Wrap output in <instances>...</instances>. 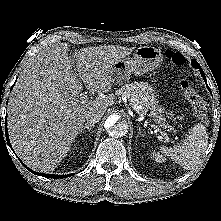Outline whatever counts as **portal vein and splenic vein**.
<instances>
[{
	"label": "portal vein and splenic vein",
	"instance_id": "obj_1",
	"mask_svg": "<svg viewBox=\"0 0 221 221\" xmlns=\"http://www.w3.org/2000/svg\"><path fill=\"white\" fill-rule=\"evenodd\" d=\"M82 98H83V99H87V95H85V94H84V95L82 96ZM136 109H138V110H139V109H140V107H136ZM155 127H157V126H155Z\"/></svg>",
	"mask_w": 221,
	"mask_h": 221
}]
</instances>
